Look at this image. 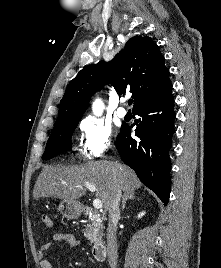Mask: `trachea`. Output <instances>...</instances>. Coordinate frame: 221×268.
<instances>
[{
    "label": "trachea",
    "mask_w": 221,
    "mask_h": 268,
    "mask_svg": "<svg viewBox=\"0 0 221 268\" xmlns=\"http://www.w3.org/2000/svg\"><path fill=\"white\" fill-rule=\"evenodd\" d=\"M132 103H133V100H129V101H128V105H129V106L132 105Z\"/></svg>",
    "instance_id": "obj_1"
}]
</instances>
